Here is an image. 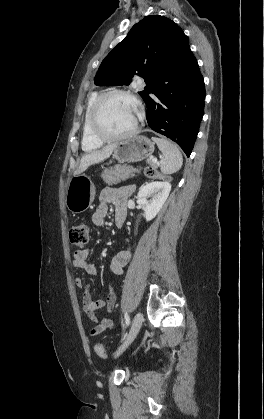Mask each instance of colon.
Listing matches in <instances>:
<instances>
[{
    "label": "colon",
    "mask_w": 264,
    "mask_h": 419,
    "mask_svg": "<svg viewBox=\"0 0 264 419\" xmlns=\"http://www.w3.org/2000/svg\"><path fill=\"white\" fill-rule=\"evenodd\" d=\"M145 175L148 178L158 177L157 171L153 168H147L145 170ZM69 240H70V243H71L72 246H74L78 249L85 248L86 245L88 244V241H89V227H88V225L85 224V223H79V224H76L75 226H73L70 229V232H69ZM94 350L100 358H107L108 357V352L102 344L97 343L94 346Z\"/></svg>",
    "instance_id": "colon-1"
}]
</instances>
